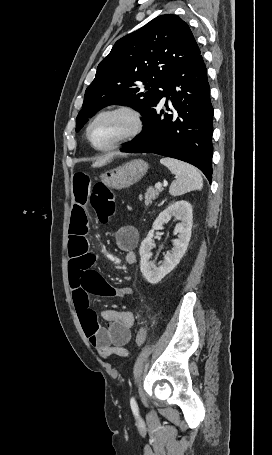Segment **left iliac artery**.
Instances as JSON below:
<instances>
[{
    "label": "left iliac artery",
    "instance_id": "obj_1",
    "mask_svg": "<svg viewBox=\"0 0 272 455\" xmlns=\"http://www.w3.org/2000/svg\"><path fill=\"white\" fill-rule=\"evenodd\" d=\"M130 405H131V409H132L133 413H134L135 415H138V405H137V402H136V400L134 399V397H132V398L130 399Z\"/></svg>",
    "mask_w": 272,
    "mask_h": 455
}]
</instances>
